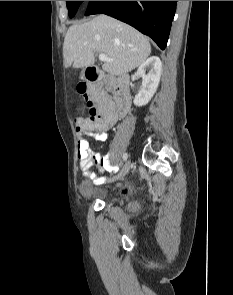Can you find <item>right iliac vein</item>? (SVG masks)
Wrapping results in <instances>:
<instances>
[{"mask_svg":"<svg viewBox=\"0 0 233 295\" xmlns=\"http://www.w3.org/2000/svg\"><path fill=\"white\" fill-rule=\"evenodd\" d=\"M129 169H130V160H128V161L125 163V165L123 166L121 172L118 174L117 177L113 178L112 181H115V180H118V179L123 178V177L128 173Z\"/></svg>","mask_w":233,"mask_h":295,"instance_id":"right-iliac-vein-1","label":"right iliac vein"}]
</instances>
